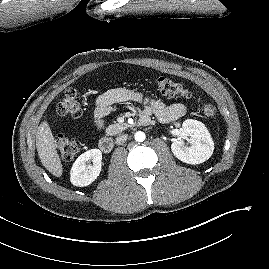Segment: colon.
I'll return each mask as SVG.
<instances>
[{"label":"colon","mask_w":269,"mask_h":269,"mask_svg":"<svg viewBox=\"0 0 269 269\" xmlns=\"http://www.w3.org/2000/svg\"><path fill=\"white\" fill-rule=\"evenodd\" d=\"M158 90L167 96L180 97L184 99H193L192 93L184 88L180 83L175 82L167 77L159 76L154 79ZM199 102L200 113L207 118L215 115V107L209 102ZM57 112L61 116L79 118L83 115V109L78 99V93L73 88H68L61 100L57 104ZM56 146L60 156L65 161L72 160L79 151V143L65 135H58Z\"/></svg>","instance_id":"colon-1"}]
</instances>
